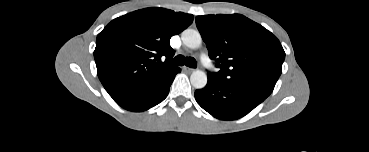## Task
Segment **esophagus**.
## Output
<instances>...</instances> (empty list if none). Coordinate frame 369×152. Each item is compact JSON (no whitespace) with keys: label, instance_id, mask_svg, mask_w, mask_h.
<instances>
[{"label":"esophagus","instance_id":"34e87169","mask_svg":"<svg viewBox=\"0 0 369 152\" xmlns=\"http://www.w3.org/2000/svg\"><path fill=\"white\" fill-rule=\"evenodd\" d=\"M183 70H184L186 73H191V72H193V71H194V69H193V68H190V67H187V66H184V67H183Z\"/></svg>","mask_w":369,"mask_h":152}]
</instances>
